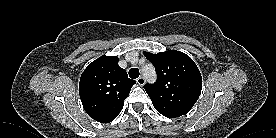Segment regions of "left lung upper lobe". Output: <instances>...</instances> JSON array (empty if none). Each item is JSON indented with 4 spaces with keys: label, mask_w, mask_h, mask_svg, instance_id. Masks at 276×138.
Masks as SVG:
<instances>
[{
    "label": "left lung upper lobe",
    "mask_w": 276,
    "mask_h": 138,
    "mask_svg": "<svg viewBox=\"0 0 276 138\" xmlns=\"http://www.w3.org/2000/svg\"><path fill=\"white\" fill-rule=\"evenodd\" d=\"M143 54L157 72L155 84L144 85L155 109L170 118L188 113L202 89V77L194 61L176 50Z\"/></svg>",
    "instance_id": "5c2ea615"
}]
</instances>
